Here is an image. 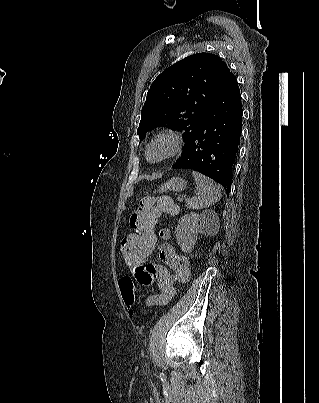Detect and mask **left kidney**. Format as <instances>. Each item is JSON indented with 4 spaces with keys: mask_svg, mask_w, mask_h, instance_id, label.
I'll list each match as a JSON object with an SVG mask.
<instances>
[{
    "mask_svg": "<svg viewBox=\"0 0 319 403\" xmlns=\"http://www.w3.org/2000/svg\"><path fill=\"white\" fill-rule=\"evenodd\" d=\"M210 218V219H209ZM217 220V215L212 210H206L202 214L191 212L179 220L175 229L176 239L181 250L190 253L196 244L199 233H205L209 220Z\"/></svg>",
    "mask_w": 319,
    "mask_h": 403,
    "instance_id": "left-kidney-1",
    "label": "left kidney"
}]
</instances>
